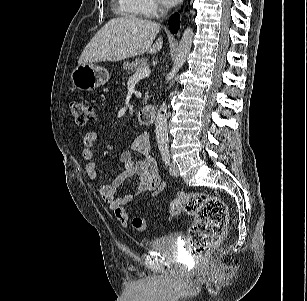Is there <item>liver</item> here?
<instances>
[{"label": "liver", "instance_id": "1", "mask_svg": "<svg viewBox=\"0 0 307 301\" xmlns=\"http://www.w3.org/2000/svg\"><path fill=\"white\" fill-rule=\"evenodd\" d=\"M160 24L124 16L109 20L81 53L78 64L121 61L144 53L154 54L163 46L162 38L153 43Z\"/></svg>", "mask_w": 307, "mask_h": 301}]
</instances>
